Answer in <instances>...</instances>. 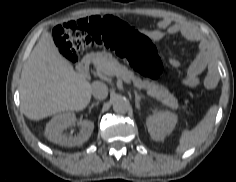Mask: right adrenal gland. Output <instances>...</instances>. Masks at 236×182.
<instances>
[{
    "label": "right adrenal gland",
    "mask_w": 236,
    "mask_h": 182,
    "mask_svg": "<svg viewBox=\"0 0 236 182\" xmlns=\"http://www.w3.org/2000/svg\"><path fill=\"white\" fill-rule=\"evenodd\" d=\"M99 104V101L95 102V103H92L90 108H89V111H91V109L94 107V106H98Z\"/></svg>",
    "instance_id": "2a0ac1e0"
}]
</instances>
